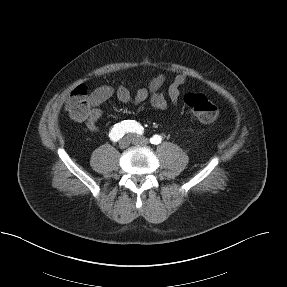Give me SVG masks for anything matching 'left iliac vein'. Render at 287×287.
<instances>
[{"instance_id":"left-iliac-vein-1","label":"left iliac vein","mask_w":287,"mask_h":287,"mask_svg":"<svg viewBox=\"0 0 287 287\" xmlns=\"http://www.w3.org/2000/svg\"><path fill=\"white\" fill-rule=\"evenodd\" d=\"M130 138L135 145H146L149 143V140L143 136L131 135Z\"/></svg>"}]
</instances>
